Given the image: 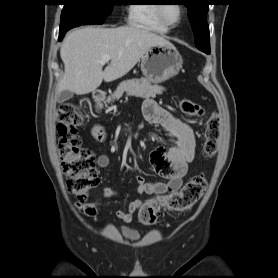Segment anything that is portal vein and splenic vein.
<instances>
[{
    "label": "portal vein and splenic vein",
    "instance_id": "18ae733b",
    "mask_svg": "<svg viewBox=\"0 0 278 278\" xmlns=\"http://www.w3.org/2000/svg\"><path fill=\"white\" fill-rule=\"evenodd\" d=\"M110 59H111L110 55H104L100 62L101 63H107V62L110 61Z\"/></svg>",
    "mask_w": 278,
    "mask_h": 278
}]
</instances>
